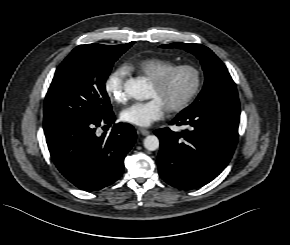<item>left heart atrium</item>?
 Instances as JSON below:
<instances>
[{
	"instance_id": "39dd6f15",
	"label": "left heart atrium",
	"mask_w": 290,
	"mask_h": 245,
	"mask_svg": "<svg viewBox=\"0 0 290 245\" xmlns=\"http://www.w3.org/2000/svg\"><path fill=\"white\" fill-rule=\"evenodd\" d=\"M167 108L158 98L148 101L136 102L121 112V119L127 123L148 127L162 119Z\"/></svg>"
}]
</instances>
